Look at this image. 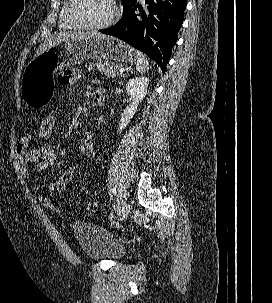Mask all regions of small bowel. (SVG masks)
<instances>
[{
	"mask_svg": "<svg viewBox=\"0 0 272 303\" xmlns=\"http://www.w3.org/2000/svg\"><path fill=\"white\" fill-rule=\"evenodd\" d=\"M81 77V72L78 70H70L60 74L59 81L63 85H72ZM33 134L30 132L24 133L17 146V160L18 164L24 175L29 177L31 175L29 164L32 162L36 163V170L43 171L57 162L56 150L48 145L41 144L33 147ZM80 151L87 158H94L96 150L93 142V133L86 134L80 141ZM57 193L55 183H50L47 187V194L40 195V203L49 211L58 212L59 209L53 204L52 198Z\"/></svg>",
	"mask_w": 272,
	"mask_h": 303,
	"instance_id": "small-bowel-1",
	"label": "small bowel"
}]
</instances>
